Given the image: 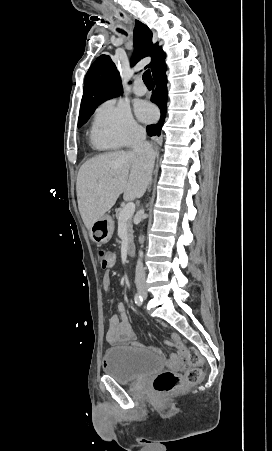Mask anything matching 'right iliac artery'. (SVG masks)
I'll return each instance as SVG.
<instances>
[{
    "label": "right iliac artery",
    "mask_w": 272,
    "mask_h": 451,
    "mask_svg": "<svg viewBox=\"0 0 272 451\" xmlns=\"http://www.w3.org/2000/svg\"><path fill=\"white\" fill-rule=\"evenodd\" d=\"M134 301L138 306H141L143 303V298L139 293H136L134 296Z\"/></svg>",
    "instance_id": "obj_1"
}]
</instances>
